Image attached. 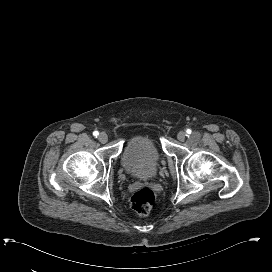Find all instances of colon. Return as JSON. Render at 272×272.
<instances>
[{
	"mask_svg": "<svg viewBox=\"0 0 272 272\" xmlns=\"http://www.w3.org/2000/svg\"><path fill=\"white\" fill-rule=\"evenodd\" d=\"M154 202L155 194L151 189L148 188L137 190L131 198V205L133 210L141 217L148 215Z\"/></svg>",
	"mask_w": 272,
	"mask_h": 272,
	"instance_id": "colon-1",
	"label": "colon"
}]
</instances>
